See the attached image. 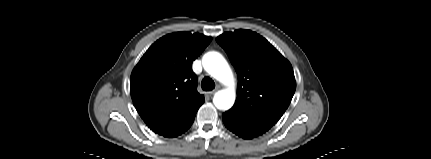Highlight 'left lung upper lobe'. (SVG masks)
I'll return each instance as SVG.
<instances>
[{
    "label": "left lung upper lobe",
    "instance_id": "left-lung-upper-lobe-1",
    "mask_svg": "<svg viewBox=\"0 0 431 159\" xmlns=\"http://www.w3.org/2000/svg\"><path fill=\"white\" fill-rule=\"evenodd\" d=\"M216 41L238 75L237 99L228 112L272 127L286 111L296 89L291 64L265 38L250 30L226 32Z\"/></svg>",
    "mask_w": 431,
    "mask_h": 159
}]
</instances>
